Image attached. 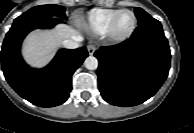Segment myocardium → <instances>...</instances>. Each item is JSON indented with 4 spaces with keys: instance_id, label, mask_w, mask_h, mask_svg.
<instances>
[{
    "instance_id": "myocardium-1",
    "label": "myocardium",
    "mask_w": 194,
    "mask_h": 133,
    "mask_svg": "<svg viewBox=\"0 0 194 133\" xmlns=\"http://www.w3.org/2000/svg\"><path fill=\"white\" fill-rule=\"evenodd\" d=\"M124 12H128L133 16V25H132L131 29L129 30V32H127L126 34L116 35L114 33V25L116 23L117 18ZM137 22H138L137 17L132 10L120 9L108 21V24H107V27H106L104 34L110 41L116 42V43H122V42L128 40L133 35V33L135 32L136 27H137Z\"/></svg>"
}]
</instances>
